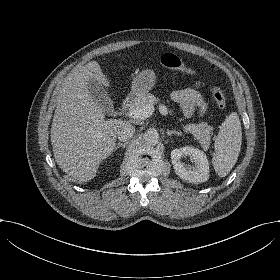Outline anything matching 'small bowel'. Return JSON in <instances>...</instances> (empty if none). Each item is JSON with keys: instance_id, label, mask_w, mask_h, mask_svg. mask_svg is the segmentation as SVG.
Segmentation results:
<instances>
[{"instance_id": "small-bowel-1", "label": "small bowel", "mask_w": 280, "mask_h": 280, "mask_svg": "<svg viewBox=\"0 0 280 280\" xmlns=\"http://www.w3.org/2000/svg\"><path fill=\"white\" fill-rule=\"evenodd\" d=\"M206 86L202 80L197 81L193 86L178 89L172 92V99L177 102L186 118H190L195 110H198L200 115L206 111V102L199 89Z\"/></svg>"}]
</instances>
